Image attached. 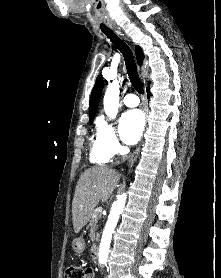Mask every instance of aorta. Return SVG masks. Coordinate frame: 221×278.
I'll return each instance as SVG.
<instances>
[{
    "label": "aorta",
    "instance_id": "obj_1",
    "mask_svg": "<svg viewBox=\"0 0 221 278\" xmlns=\"http://www.w3.org/2000/svg\"><path fill=\"white\" fill-rule=\"evenodd\" d=\"M119 95H120V82L116 79L108 84L107 90L104 95L103 105L104 111L109 118H115L118 113L119 107ZM126 202V193H123L117 197V200L113 203L112 209L108 216L107 223L105 225L100 248H99V262L105 263L108 258L110 243L112 239L113 231L117 225L118 219Z\"/></svg>",
    "mask_w": 221,
    "mask_h": 278
}]
</instances>
